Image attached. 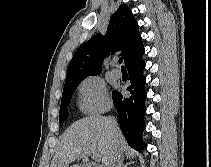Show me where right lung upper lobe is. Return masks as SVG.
<instances>
[{
    "instance_id": "obj_1",
    "label": "right lung upper lobe",
    "mask_w": 211,
    "mask_h": 167,
    "mask_svg": "<svg viewBox=\"0 0 211 167\" xmlns=\"http://www.w3.org/2000/svg\"><path fill=\"white\" fill-rule=\"evenodd\" d=\"M117 51H122L126 67L144 54L138 22L125 5H121L111 16L104 37L96 34L76 51L69 64L65 83L100 74L104 56Z\"/></svg>"
}]
</instances>
